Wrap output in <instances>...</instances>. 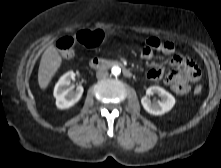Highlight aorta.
<instances>
[{
  "mask_svg": "<svg viewBox=\"0 0 221 168\" xmlns=\"http://www.w3.org/2000/svg\"><path fill=\"white\" fill-rule=\"evenodd\" d=\"M111 72L114 76H118L121 73V69L119 66H113Z\"/></svg>",
  "mask_w": 221,
  "mask_h": 168,
  "instance_id": "762f6f07",
  "label": "aorta"
}]
</instances>
